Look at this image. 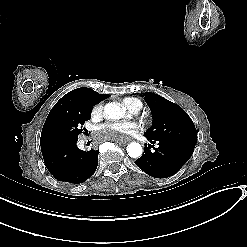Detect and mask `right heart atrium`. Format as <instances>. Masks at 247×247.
I'll return each mask as SVG.
<instances>
[{"label": "right heart atrium", "mask_w": 247, "mask_h": 247, "mask_svg": "<svg viewBox=\"0 0 247 247\" xmlns=\"http://www.w3.org/2000/svg\"><path fill=\"white\" fill-rule=\"evenodd\" d=\"M102 112L103 106L99 103L93 106L91 114L93 118H99L102 115Z\"/></svg>", "instance_id": "d8ad5b80"}]
</instances>
